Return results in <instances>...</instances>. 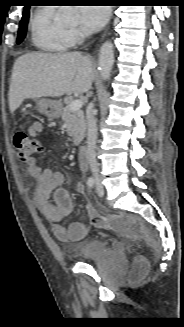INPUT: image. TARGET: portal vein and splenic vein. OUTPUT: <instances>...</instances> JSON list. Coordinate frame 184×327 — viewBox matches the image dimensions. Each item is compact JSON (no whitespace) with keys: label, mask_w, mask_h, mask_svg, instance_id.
Segmentation results:
<instances>
[{"label":"portal vein and splenic vein","mask_w":184,"mask_h":327,"mask_svg":"<svg viewBox=\"0 0 184 327\" xmlns=\"http://www.w3.org/2000/svg\"><path fill=\"white\" fill-rule=\"evenodd\" d=\"M82 105H83L82 100L77 99V100L72 101V102L69 104V108H70L71 110H73V111H78V110L81 109Z\"/></svg>","instance_id":"obj_1"}]
</instances>
